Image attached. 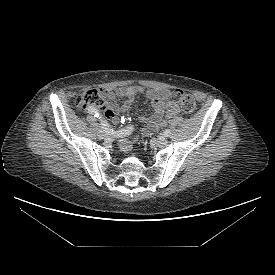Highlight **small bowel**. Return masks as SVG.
Segmentation results:
<instances>
[{
  "mask_svg": "<svg viewBox=\"0 0 275 275\" xmlns=\"http://www.w3.org/2000/svg\"><path fill=\"white\" fill-rule=\"evenodd\" d=\"M106 98L105 116L113 123L120 122L119 114L127 111L134 98L138 94H144L151 103L152 111L149 115H143L141 120L147 124L143 130L144 135H148L153 131L164 126L166 121L174 118L180 113V107L170 97V91L165 89H145L139 85L118 87L115 90H101ZM117 97L125 98L121 103L116 102ZM88 108V107H87ZM120 147L127 150L131 147V141L122 140Z\"/></svg>",
  "mask_w": 275,
  "mask_h": 275,
  "instance_id": "c3829d8e",
  "label": "small bowel"
}]
</instances>
